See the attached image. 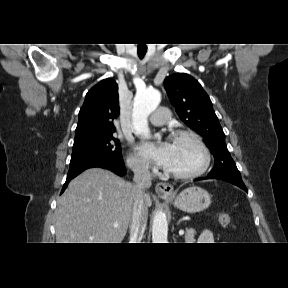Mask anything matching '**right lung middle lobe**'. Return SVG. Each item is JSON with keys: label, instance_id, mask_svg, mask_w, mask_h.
Wrapping results in <instances>:
<instances>
[{"label": "right lung middle lobe", "instance_id": "1", "mask_svg": "<svg viewBox=\"0 0 288 288\" xmlns=\"http://www.w3.org/2000/svg\"><path fill=\"white\" fill-rule=\"evenodd\" d=\"M94 157L123 162L119 140L113 134H108L74 142L70 163Z\"/></svg>", "mask_w": 288, "mask_h": 288}]
</instances>
